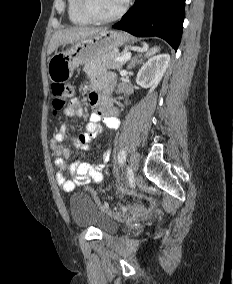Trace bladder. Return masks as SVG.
<instances>
[{"label": "bladder", "instance_id": "31cf9c89", "mask_svg": "<svg viewBox=\"0 0 233 284\" xmlns=\"http://www.w3.org/2000/svg\"><path fill=\"white\" fill-rule=\"evenodd\" d=\"M69 212L77 227H93L103 234H111L118 230V224L103 213L86 193L77 192L70 197Z\"/></svg>", "mask_w": 233, "mask_h": 284}]
</instances>
